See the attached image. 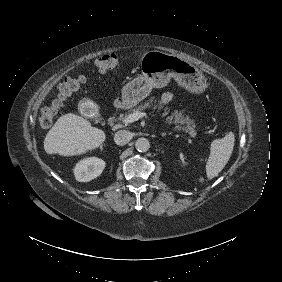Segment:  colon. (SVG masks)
<instances>
[{
  "label": "colon",
  "mask_w": 282,
  "mask_h": 282,
  "mask_svg": "<svg viewBox=\"0 0 282 282\" xmlns=\"http://www.w3.org/2000/svg\"><path fill=\"white\" fill-rule=\"evenodd\" d=\"M97 69L100 73H107L118 65V58L115 54H105L97 61ZM83 83L82 78H72L63 82L55 93L52 101L43 109L39 116V125L42 128H49L54 123L63 102L77 91Z\"/></svg>",
  "instance_id": "5ec220e1"
}]
</instances>
